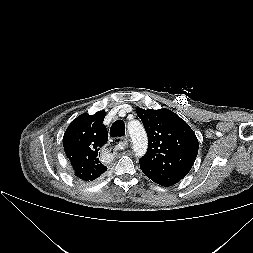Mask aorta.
Masks as SVG:
<instances>
[{
  "instance_id": "aorta-1",
  "label": "aorta",
  "mask_w": 253,
  "mask_h": 253,
  "mask_svg": "<svg viewBox=\"0 0 253 253\" xmlns=\"http://www.w3.org/2000/svg\"><path fill=\"white\" fill-rule=\"evenodd\" d=\"M128 131L133 142V149L137 156H143L147 150V135L140 123L130 122Z\"/></svg>"
}]
</instances>
